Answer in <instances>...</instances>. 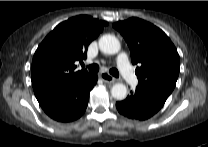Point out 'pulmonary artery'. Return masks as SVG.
Returning <instances> with one entry per match:
<instances>
[{"mask_svg": "<svg viewBox=\"0 0 208 147\" xmlns=\"http://www.w3.org/2000/svg\"><path fill=\"white\" fill-rule=\"evenodd\" d=\"M117 65L118 68L124 77V79L129 83V84H136L137 83V78L129 64L128 57L125 53H120L117 57Z\"/></svg>", "mask_w": 208, "mask_h": 147, "instance_id": "obj_1", "label": "pulmonary artery"}]
</instances>
